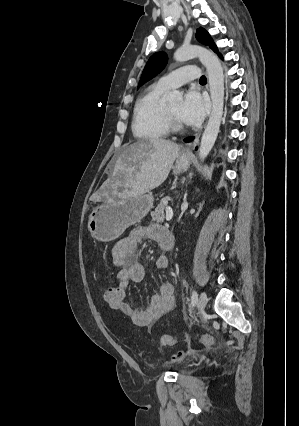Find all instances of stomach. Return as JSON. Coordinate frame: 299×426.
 <instances>
[{
  "label": "stomach",
  "instance_id": "0dacf381",
  "mask_svg": "<svg viewBox=\"0 0 299 426\" xmlns=\"http://www.w3.org/2000/svg\"><path fill=\"white\" fill-rule=\"evenodd\" d=\"M190 157L180 154L173 167L174 174L188 170ZM152 193L108 201L93 209L88 219V230L98 241L109 242L118 238L131 225L139 223L153 208Z\"/></svg>",
  "mask_w": 299,
  "mask_h": 426
}]
</instances>
